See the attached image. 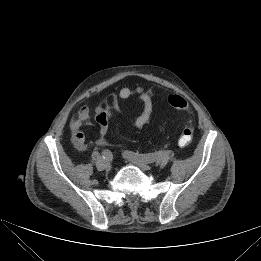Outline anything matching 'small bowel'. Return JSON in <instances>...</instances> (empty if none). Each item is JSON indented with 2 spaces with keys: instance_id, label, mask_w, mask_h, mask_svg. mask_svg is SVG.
<instances>
[{
  "instance_id": "c3829d8e",
  "label": "small bowel",
  "mask_w": 261,
  "mask_h": 261,
  "mask_svg": "<svg viewBox=\"0 0 261 261\" xmlns=\"http://www.w3.org/2000/svg\"><path fill=\"white\" fill-rule=\"evenodd\" d=\"M134 94H136V101L143 105V111L134 121L133 125L136 128H142L150 121L154 107V88L144 89L141 86H136L135 88L127 86L122 87L118 92L111 93L94 107L95 121L99 126V132L96 138V143L98 145H103L105 143L108 123L112 115H123L120 101L127 100ZM89 120L90 107L88 105H83L69 123L72 141L79 151H84L86 149L85 135L82 132L81 127L84 124H87Z\"/></svg>"
}]
</instances>
